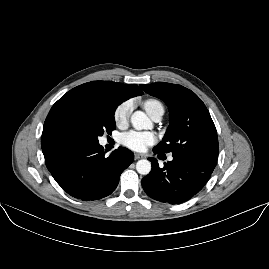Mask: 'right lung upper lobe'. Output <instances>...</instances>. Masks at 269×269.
<instances>
[{"mask_svg":"<svg viewBox=\"0 0 269 269\" xmlns=\"http://www.w3.org/2000/svg\"><path fill=\"white\" fill-rule=\"evenodd\" d=\"M142 94V90L134 84L92 81L71 89L56 103L78 100L82 102H107L118 106L127 99ZM46 129L48 127L44 125L43 131Z\"/></svg>","mask_w":269,"mask_h":269,"instance_id":"obj_1","label":"right lung upper lobe"}]
</instances>
